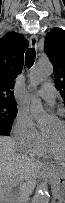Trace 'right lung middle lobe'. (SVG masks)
<instances>
[{
  "label": "right lung middle lobe",
  "instance_id": "1",
  "mask_svg": "<svg viewBox=\"0 0 65 203\" xmlns=\"http://www.w3.org/2000/svg\"><path fill=\"white\" fill-rule=\"evenodd\" d=\"M17 115L16 103L0 102V133L10 135L13 121Z\"/></svg>",
  "mask_w": 65,
  "mask_h": 203
}]
</instances>
